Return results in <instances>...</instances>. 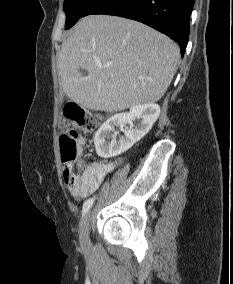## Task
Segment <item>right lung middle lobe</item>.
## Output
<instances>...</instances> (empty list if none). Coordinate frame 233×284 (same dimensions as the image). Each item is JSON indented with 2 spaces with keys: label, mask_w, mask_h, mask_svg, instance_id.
I'll use <instances>...</instances> for the list:
<instances>
[{
  "label": "right lung middle lobe",
  "mask_w": 233,
  "mask_h": 284,
  "mask_svg": "<svg viewBox=\"0 0 233 284\" xmlns=\"http://www.w3.org/2000/svg\"><path fill=\"white\" fill-rule=\"evenodd\" d=\"M107 0H65L66 29L71 28L81 17L91 14Z\"/></svg>",
  "instance_id": "1"
}]
</instances>
